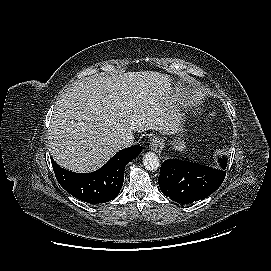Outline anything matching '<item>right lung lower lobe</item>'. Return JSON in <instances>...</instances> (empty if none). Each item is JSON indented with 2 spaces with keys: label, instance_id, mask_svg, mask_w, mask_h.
<instances>
[{
  "label": "right lung lower lobe",
  "instance_id": "right-lung-lower-lobe-1",
  "mask_svg": "<svg viewBox=\"0 0 271 271\" xmlns=\"http://www.w3.org/2000/svg\"><path fill=\"white\" fill-rule=\"evenodd\" d=\"M142 151L141 146H132L116 153L102 168L92 173H75L61 168L51 159L59 184L72 196L87 203L108 202L119 194L125 166Z\"/></svg>",
  "mask_w": 271,
  "mask_h": 271
}]
</instances>
